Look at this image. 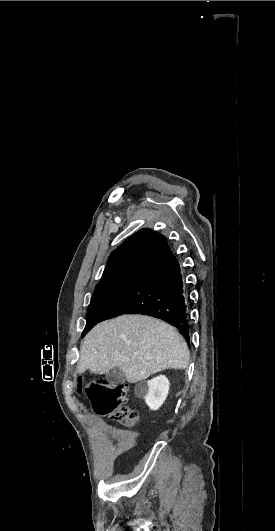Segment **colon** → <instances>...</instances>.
<instances>
[{"mask_svg":"<svg viewBox=\"0 0 275 531\" xmlns=\"http://www.w3.org/2000/svg\"><path fill=\"white\" fill-rule=\"evenodd\" d=\"M77 388L86 389L92 409L100 416H109L119 421L124 427L131 428L138 418L134 408L125 405L129 395V386L117 381L98 378L88 384V379H77Z\"/></svg>","mask_w":275,"mask_h":531,"instance_id":"obj_1","label":"colon"}]
</instances>
